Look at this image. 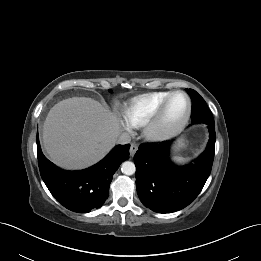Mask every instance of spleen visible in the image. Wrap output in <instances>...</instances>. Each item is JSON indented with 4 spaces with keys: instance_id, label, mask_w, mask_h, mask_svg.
<instances>
[{
    "instance_id": "obj_1",
    "label": "spleen",
    "mask_w": 261,
    "mask_h": 261,
    "mask_svg": "<svg viewBox=\"0 0 261 261\" xmlns=\"http://www.w3.org/2000/svg\"><path fill=\"white\" fill-rule=\"evenodd\" d=\"M174 160H175L176 162H180V163L185 161V159L182 158V157H174Z\"/></svg>"
}]
</instances>
